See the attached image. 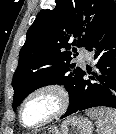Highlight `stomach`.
Returning <instances> with one entry per match:
<instances>
[{"instance_id": "stomach-1", "label": "stomach", "mask_w": 116, "mask_h": 134, "mask_svg": "<svg viewBox=\"0 0 116 134\" xmlns=\"http://www.w3.org/2000/svg\"><path fill=\"white\" fill-rule=\"evenodd\" d=\"M92 123L85 117L73 116L48 130V134H92Z\"/></svg>"}]
</instances>
